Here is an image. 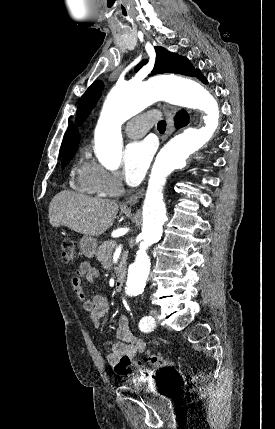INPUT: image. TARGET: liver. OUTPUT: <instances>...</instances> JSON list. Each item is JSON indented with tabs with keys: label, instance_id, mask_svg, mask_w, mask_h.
Masks as SVG:
<instances>
[{
	"label": "liver",
	"instance_id": "obj_1",
	"mask_svg": "<svg viewBox=\"0 0 275 429\" xmlns=\"http://www.w3.org/2000/svg\"><path fill=\"white\" fill-rule=\"evenodd\" d=\"M119 210L113 200L90 198L64 190L49 204V221L53 227L65 226L86 236H100L109 229Z\"/></svg>",
	"mask_w": 275,
	"mask_h": 429
}]
</instances>
